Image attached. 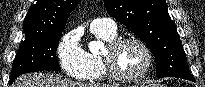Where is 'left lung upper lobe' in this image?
I'll return each mask as SVG.
<instances>
[{
    "label": "left lung upper lobe",
    "instance_id": "5c2ea615",
    "mask_svg": "<svg viewBox=\"0 0 205 87\" xmlns=\"http://www.w3.org/2000/svg\"><path fill=\"white\" fill-rule=\"evenodd\" d=\"M104 5L112 17L148 45L157 62V77L191 79L165 0H104Z\"/></svg>",
    "mask_w": 205,
    "mask_h": 87
}]
</instances>
